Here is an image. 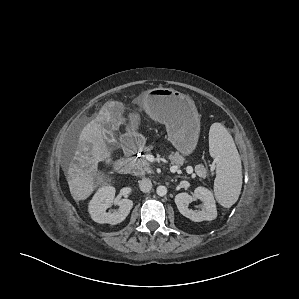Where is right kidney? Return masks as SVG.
<instances>
[{
  "instance_id": "obj_1",
  "label": "right kidney",
  "mask_w": 299,
  "mask_h": 299,
  "mask_svg": "<svg viewBox=\"0 0 299 299\" xmlns=\"http://www.w3.org/2000/svg\"><path fill=\"white\" fill-rule=\"evenodd\" d=\"M115 188L112 186H103L93 196L89 203L88 211L91 218L100 224L108 223L116 225L126 219L130 210L133 207V202L130 199H120L114 201ZM116 203L119 208L115 212H107L106 210Z\"/></svg>"
}]
</instances>
